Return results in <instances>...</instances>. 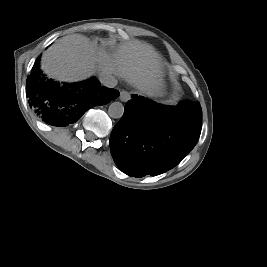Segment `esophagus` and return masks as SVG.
Instances as JSON below:
<instances>
[{
  "instance_id": "1",
  "label": "esophagus",
  "mask_w": 267,
  "mask_h": 267,
  "mask_svg": "<svg viewBox=\"0 0 267 267\" xmlns=\"http://www.w3.org/2000/svg\"><path fill=\"white\" fill-rule=\"evenodd\" d=\"M131 96H130V93L123 90L120 92V96H119V99L122 101V102H127L128 100H130Z\"/></svg>"
}]
</instances>
